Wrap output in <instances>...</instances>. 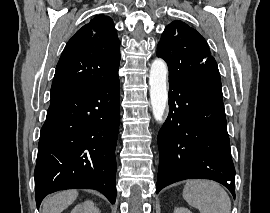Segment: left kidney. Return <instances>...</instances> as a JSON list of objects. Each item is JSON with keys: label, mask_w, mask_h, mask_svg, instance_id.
Returning a JSON list of instances; mask_svg holds the SVG:
<instances>
[{"label": "left kidney", "mask_w": 270, "mask_h": 213, "mask_svg": "<svg viewBox=\"0 0 270 213\" xmlns=\"http://www.w3.org/2000/svg\"><path fill=\"white\" fill-rule=\"evenodd\" d=\"M174 213H192L190 210L184 207L175 208Z\"/></svg>", "instance_id": "1"}]
</instances>
